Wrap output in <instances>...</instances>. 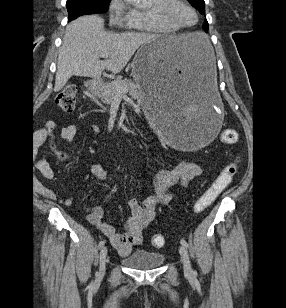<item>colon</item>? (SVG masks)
<instances>
[{"mask_svg": "<svg viewBox=\"0 0 286 308\" xmlns=\"http://www.w3.org/2000/svg\"><path fill=\"white\" fill-rule=\"evenodd\" d=\"M77 100V87L67 86L62 89L54 98L56 107L64 112H72L75 108ZM220 138L222 142L228 145H234L239 140L238 132L235 129H225L222 131ZM239 158H234L226 164L222 170L215 177L208 189L196 201L194 211L196 213L202 212L205 208L210 206L217 197L232 183L238 170ZM152 245L156 248H161L165 245V239L162 235H154L152 237Z\"/></svg>", "mask_w": 286, "mask_h": 308, "instance_id": "obj_1", "label": "colon"}]
</instances>
